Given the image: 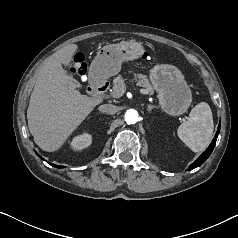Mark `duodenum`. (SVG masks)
I'll list each match as a JSON object with an SVG mask.
<instances>
[{"label":"duodenum","mask_w":238,"mask_h":238,"mask_svg":"<svg viewBox=\"0 0 238 238\" xmlns=\"http://www.w3.org/2000/svg\"><path fill=\"white\" fill-rule=\"evenodd\" d=\"M108 86L109 84L105 79L98 76H93L91 78L88 91L93 97L99 98L108 89Z\"/></svg>","instance_id":"obj_1"}]
</instances>
